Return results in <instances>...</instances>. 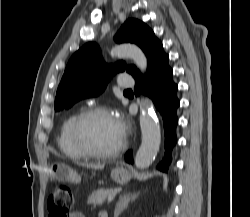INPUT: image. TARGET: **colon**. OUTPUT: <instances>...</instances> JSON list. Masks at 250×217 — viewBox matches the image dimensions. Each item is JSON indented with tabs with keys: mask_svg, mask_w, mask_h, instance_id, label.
Segmentation results:
<instances>
[{
	"mask_svg": "<svg viewBox=\"0 0 250 217\" xmlns=\"http://www.w3.org/2000/svg\"><path fill=\"white\" fill-rule=\"evenodd\" d=\"M74 205V196L67 184H57L47 201L48 217H69Z\"/></svg>",
	"mask_w": 250,
	"mask_h": 217,
	"instance_id": "colon-1",
	"label": "colon"
}]
</instances>
